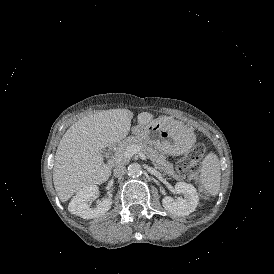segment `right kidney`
<instances>
[{
	"label": "right kidney",
	"instance_id": "obj_1",
	"mask_svg": "<svg viewBox=\"0 0 274 274\" xmlns=\"http://www.w3.org/2000/svg\"><path fill=\"white\" fill-rule=\"evenodd\" d=\"M99 193L97 185H90L80 189L71 199L68 210L70 213L77 215L83 219H93L104 215L112 205V199L106 198L97 202L95 208H90L88 202Z\"/></svg>",
	"mask_w": 274,
	"mask_h": 274
}]
</instances>
